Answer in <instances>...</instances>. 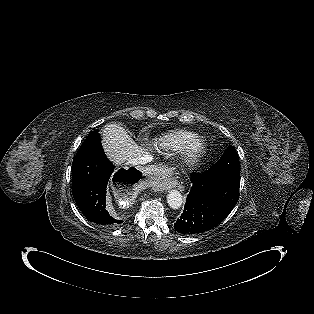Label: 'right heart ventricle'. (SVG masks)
Listing matches in <instances>:
<instances>
[{"mask_svg": "<svg viewBox=\"0 0 314 314\" xmlns=\"http://www.w3.org/2000/svg\"><path fill=\"white\" fill-rule=\"evenodd\" d=\"M197 137L194 132L186 130H175L162 134L152 141V145L162 151H181L187 143Z\"/></svg>", "mask_w": 314, "mask_h": 314, "instance_id": "e07e8e85", "label": "right heart ventricle"}]
</instances>
